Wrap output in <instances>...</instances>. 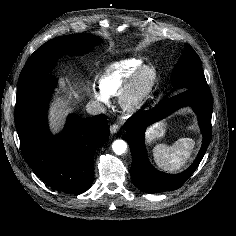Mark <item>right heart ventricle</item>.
I'll use <instances>...</instances> for the list:
<instances>
[{
    "mask_svg": "<svg viewBox=\"0 0 236 236\" xmlns=\"http://www.w3.org/2000/svg\"><path fill=\"white\" fill-rule=\"evenodd\" d=\"M144 64L140 58H126L108 66L99 77V87L108 96H118L131 76Z\"/></svg>",
    "mask_w": 236,
    "mask_h": 236,
    "instance_id": "e07e8e85",
    "label": "right heart ventricle"
}]
</instances>
